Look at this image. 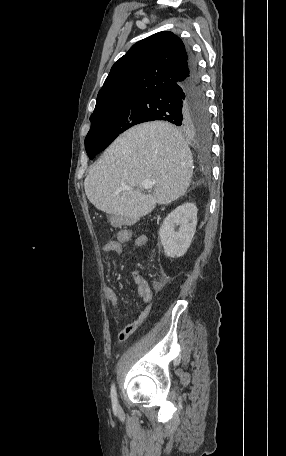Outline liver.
<instances>
[{
    "label": "liver",
    "mask_w": 286,
    "mask_h": 456,
    "mask_svg": "<svg viewBox=\"0 0 286 456\" xmlns=\"http://www.w3.org/2000/svg\"><path fill=\"white\" fill-rule=\"evenodd\" d=\"M193 158L187 141L172 124L147 122L121 134L89 171L84 187L99 210L130 222L169 204L187 191ZM154 181L153 194L141 189Z\"/></svg>",
    "instance_id": "liver-1"
}]
</instances>
